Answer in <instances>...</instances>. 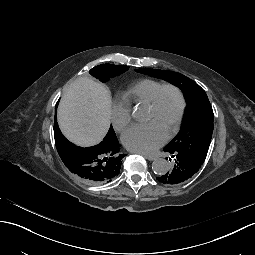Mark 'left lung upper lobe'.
Wrapping results in <instances>:
<instances>
[{
    "mask_svg": "<svg viewBox=\"0 0 255 255\" xmlns=\"http://www.w3.org/2000/svg\"><path fill=\"white\" fill-rule=\"evenodd\" d=\"M135 71L168 81L184 93L188 104L184 124L178 135L168 142L167 147L171 151H179L182 157L199 170L207 156L214 120L213 110L205 91L193 80L177 72L147 68Z\"/></svg>",
    "mask_w": 255,
    "mask_h": 255,
    "instance_id": "5c2ea615",
    "label": "left lung upper lobe"
}]
</instances>
